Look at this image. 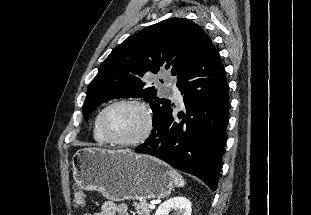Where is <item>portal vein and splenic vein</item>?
Listing matches in <instances>:
<instances>
[{
  "label": "portal vein and splenic vein",
  "mask_w": 311,
  "mask_h": 215,
  "mask_svg": "<svg viewBox=\"0 0 311 215\" xmlns=\"http://www.w3.org/2000/svg\"><path fill=\"white\" fill-rule=\"evenodd\" d=\"M149 208L154 209V208H155V205H154L153 203H150V204H149Z\"/></svg>",
  "instance_id": "1"
}]
</instances>
